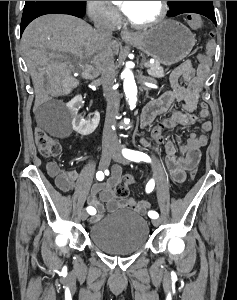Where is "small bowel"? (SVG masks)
<instances>
[{"mask_svg":"<svg viewBox=\"0 0 237 300\" xmlns=\"http://www.w3.org/2000/svg\"><path fill=\"white\" fill-rule=\"evenodd\" d=\"M209 67L199 64L194 68L191 61L177 66L169 76L172 90L156 100L149 102L140 117L142 129L148 128L157 117L169 112V116L160 119L151 129V137L158 144H164L165 165L171 179L182 183L186 179V171L195 167L200 159L201 149L207 144V133L212 125L207 121L209 108L205 102L199 104L200 93L208 79ZM200 107L198 115L194 111ZM202 120L199 135L192 133L186 143L179 138L175 141L167 137V131L178 126H190ZM143 144H150L143 140ZM48 174L54 179L56 186L63 192H82L89 189L87 202L95 209L91 222L97 221L106 212H115L121 207H130L145 211L149 208L146 201L128 199L119 201L114 195V188L121 178V167L114 166L106 182L91 184L88 177H82L74 169H62L55 163L47 166Z\"/></svg>","mask_w":237,"mask_h":300,"instance_id":"small-bowel-1","label":"small bowel"}]
</instances>
